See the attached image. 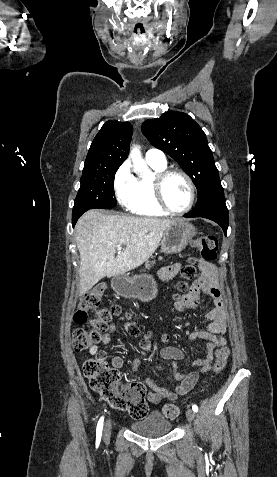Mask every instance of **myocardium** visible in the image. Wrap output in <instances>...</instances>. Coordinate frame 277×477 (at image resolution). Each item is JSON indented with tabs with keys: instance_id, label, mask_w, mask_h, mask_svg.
<instances>
[{
	"instance_id": "1",
	"label": "myocardium",
	"mask_w": 277,
	"mask_h": 477,
	"mask_svg": "<svg viewBox=\"0 0 277 477\" xmlns=\"http://www.w3.org/2000/svg\"><path fill=\"white\" fill-rule=\"evenodd\" d=\"M173 175L182 176L187 181L188 186H189V190H190V197H189L188 204L186 205L185 208H183L182 210H179V211L172 210L168 206V204L165 200V197H164L165 182L167 181V179L169 177H171ZM153 192H154V197H155V200H156L158 206L166 214L173 215V216H181V215H184V214L188 213L192 209V207L195 203V199H196V187H195L194 181L188 173H186L185 171H183L181 169H165V170L155 174V176L153 178Z\"/></svg>"
}]
</instances>
